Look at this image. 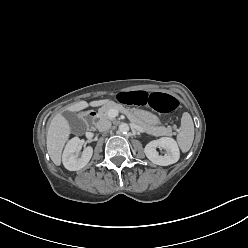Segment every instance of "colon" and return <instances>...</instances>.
Returning <instances> with one entry per match:
<instances>
[{
	"label": "colon",
	"mask_w": 248,
	"mask_h": 248,
	"mask_svg": "<svg viewBox=\"0 0 248 248\" xmlns=\"http://www.w3.org/2000/svg\"><path fill=\"white\" fill-rule=\"evenodd\" d=\"M117 100L121 104L149 105L164 114L175 112L179 105L178 100L169 94L144 90L121 91L117 95Z\"/></svg>",
	"instance_id": "colon-1"
}]
</instances>
